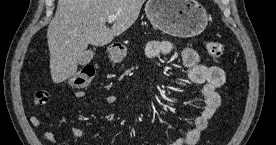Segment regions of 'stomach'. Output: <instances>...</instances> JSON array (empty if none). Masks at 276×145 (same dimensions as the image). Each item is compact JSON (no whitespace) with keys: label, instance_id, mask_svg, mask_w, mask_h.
Wrapping results in <instances>:
<instances>
[{"label":"stomach","instance_id":"0dacf381","mask_svg":"<svg viewBox=\"0 0 276 145\" xmlns=\"http://www.w3.org/2000/svg\"><path fill=\"white\" fill-rule=\"evenodd\" d=\"M145 13L154 28L175 37L199 35L208 24L206 10L196 0H148ZM109 58L119 63L124 53L112 48Z\"/></svg>","mask_w":276,"mask_h":145}]
</instances>
